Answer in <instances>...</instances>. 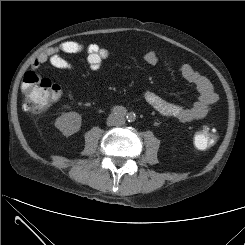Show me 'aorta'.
Listing matches in <instances>:
<instances>
[{
	"instance_id": "762f6f07",
	"label": "aorta",
	"mask_w": 245,
	"mask_h": 245,
	"mask_svg": "<svg viewBox=\"0 0 245 245\" xmlns=\"http://www.w3.org/2000/svg\"><path fill=\"white\" fill-rule=\"evenodd\" d=\"M129 119L133 120V119H134V117H132V118H129Z\"/></svg>"
}]
</instances>
